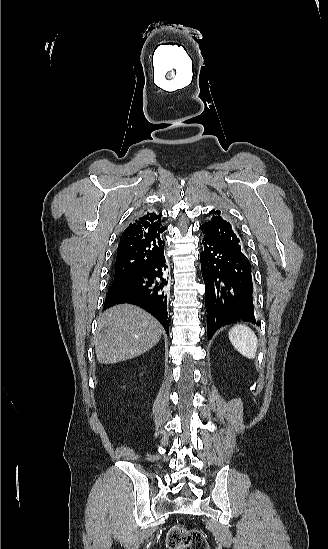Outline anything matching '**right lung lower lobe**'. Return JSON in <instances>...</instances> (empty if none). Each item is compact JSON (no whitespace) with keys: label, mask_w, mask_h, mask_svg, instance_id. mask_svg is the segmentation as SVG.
Here are the masks:
<instances>
[{"label":"right lung lower lobe","mask_w":328,"mask_h":549,"mask_svg":"<svg viewBox=\"0 0 328 549\" xmlns=\"http://www.w3.org/2000/svg\"><path fill=\"white\" fill-rule=\"evenodd\" d=\"M166 287V260L163 251L137 274L111 285L103 310L123 302L132 303L151 313L168 334Z\"/></svg>","instance_id":"obj_1"}]
</instances>
